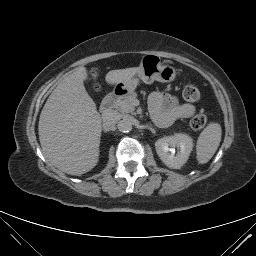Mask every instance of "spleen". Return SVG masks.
I'll list each match as a JSON object with an SVG mask.
<instances>
[{
	"instance_id": "spleen-1",
	"label": "spleen",
	"mask_w": 256,
	"mask_h": 256,
	"mask_svg": "<svg viewBox=\"0 0 256 256\" xmlns=\"http://www.w3.org/2000/svg\"><path fill=\"white\" fill-rule=\"evenodd\" d=\"M222 136V129L218 123H209L201 132L197 140L196 154L200 164L207 163L217 151Z\"/></svg>"
}]
</instances>
